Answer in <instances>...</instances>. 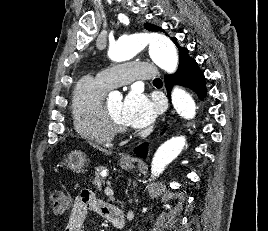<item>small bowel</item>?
<instances>
[{
    "mask_svg": "<svg viewBox=\"0 0 268 231\" xmlns=\"http://www.w3.org/2000/svg\"><path fill=\"white\" fill-rule=\"evenodd\" d=\"M89 211L101 214L110 220L112 208L98 200L91 190L85 189L74 199L64 231H84L83 223Z\"/></svg>",
    "mask_w": 268,
    "mask_h": 231,
    "instance_id": "c3829d8e",
    "label": "small bowel"
}]
</instances>
